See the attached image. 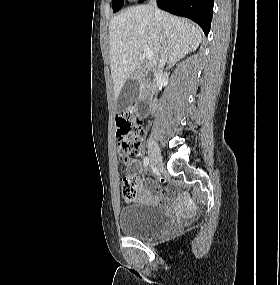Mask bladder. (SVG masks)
Listing matches in <instances>:
<instances>
[{"mask_svg": "<svg viewBox=\"0 0 280 285\" xmlns=\"http://www.w3.org/2000/svg\"><path fill=\"white\" fill-rule=\"evenodd\" d=\"M170 218L148 203L134 202L123 206L118 214L120 230L127 236L146 239L161 233Z\"/></svg>", "mask_w": 280, "mask_h": 285, "instance_id": "bladder-1", "label": "bladder"}]
</instances>
